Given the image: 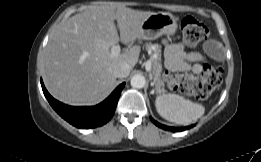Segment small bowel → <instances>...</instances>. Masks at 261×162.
I'll list each match as a JSON object with an SVG mask.
<instances>
[{"instance_id": "small-bowel-1", "label": "small bowel", "mask_w": 261, "mask_h": 162, "mask_svg": "<svg viewBox=\"0 0 261 162\" xmlns=\"http://www.w3.org/2000/svg\"><path fill=\"white\" fill-rule=\"evenodd\" d=\"M207 55L214 60L223 58V49L215 41L208 40L204 44ZM207 58L198 52L185 51L182 43H167L165 64L172 71H192L199 74L203 70V64Z\"/></svg>"}]
</instances>
